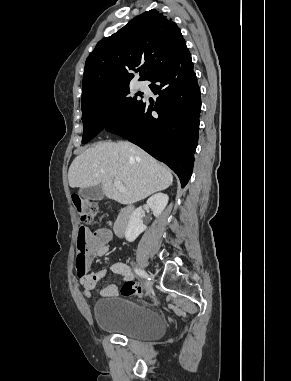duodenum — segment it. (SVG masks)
<instances>
[{
	"label": "duodenum",
	"instance_id": "duodenum-1",
	"mask_svg": "<svg viewBox=\"0 0 291 381\" xmlns=\"http://www.w3.org/2000/svg\"><path fill=\"white\" fill-rule=\"evenodd\" d=\"M132 212V205H127L120 209L113 225L115 235L121 237L125 234Z\"/></svg>",
	"mask_w": 291,
	"mask_h": 381
}]
</instances>
